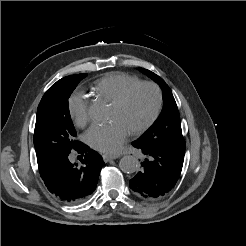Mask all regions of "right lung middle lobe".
I'll return each instance as SVG.
<instances>
[{
  "instance_id": "right-lung-middle-lobe-1",
  "label": "right lung middle lobe",
  "mask_w": 246,
  "mask_h": 246,
  "mask_svg": "<svg viewBox=\"0 0 246 246\" xmlns=\"http://www.w3.org/2000/svg\"><path fill=\"white\" fill-rule=\"evenodd\" d=\"M86 76L84 73L64 77L42 97L37 109L33 137L38 163L69 154L81 143L75 139L76 131L70 117L68 99Z\"/></svg>"
}]
</instances>
